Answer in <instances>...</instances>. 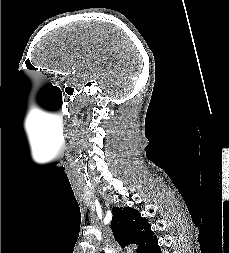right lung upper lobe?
I'll return each instance as SVG.
<instances>
[{"label":"right lung upper lobe","mask_w":229,"mask_h":253,"mask_svg":"<svg viewBox=\"0 0 229 253\" xmlns=\"http://www.w3.org/2000/svg\"><path fill=\"white\" fill-rule=\"evenodd\" d=\"M111 226L114 237L121 247L136 244L137 253H145L157 241L148 221L131 207L113 208Z\"/></svg>","instance_id":"cb5924a9"}]
</instances>
